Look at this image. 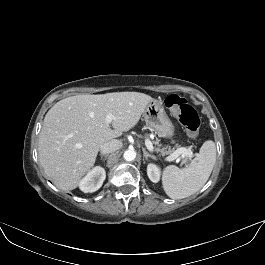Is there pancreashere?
<instances>
[{
  "instance_id": "pancreas-1",
  "label": "pancreas",
  "mask_w": 265,
  "mask_h": 265,
  "mask_svg": "<svg viewBox=\"0 0 265 265\" xmlns=\"http://www.w3.org/2000/svg\"><path fill=\"white\" fill-rule=\"evenodd\" d=\"M153 143L158 146L156 151L160 152V154L162 156L169 155V154L172 155L173 153H175L177 150L180 149V148H177V150H174V148H170V147L161 148V144H159V139L158 138H156V140ZM187 150H189L191 152V150L189 148Z\"/></svg>"
}]
</instances>
